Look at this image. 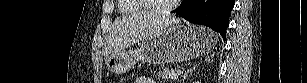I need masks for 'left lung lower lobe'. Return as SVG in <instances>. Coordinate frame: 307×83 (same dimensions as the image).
Segmentation results:
<instances>
[{"label": "left lung lower lobe", "mask_w": 307, "mask_h": 83, "mask_svg": "<svg viewBox=\"0 0 307 83\" xmlns=\"http://www.w3.org/2000/svg\"><path fill=\"white\" fill-rule=\"evenodd\" d=\"M233 7L234 0H183L172 12L191 23L208 26L226 39Z\"/></svg>", "instance_id": "obj_1"}]
</instances>
